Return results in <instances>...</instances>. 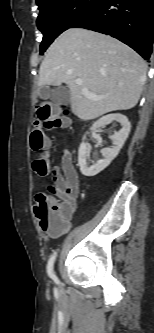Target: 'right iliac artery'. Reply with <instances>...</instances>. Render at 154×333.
<instances>
[{"instance_id":"obj_1","label":"right iliac artery","mask_w":154,"mask_h":333,"mask_svg":"<svg viewBox=\"0 0 154 333\" xmlns=\"http://www.w3.org/2000/svg\"><path fill=\"white\" fill-rule=\"evenodd\" d=\"M56 253H54L49 261H48V264H47V272H48V275L50 278H52L53 280L57 281V277L56 275L54 274V271H53V265H54V262H55V259H56Z\"/></svg>"}]
</instances>
